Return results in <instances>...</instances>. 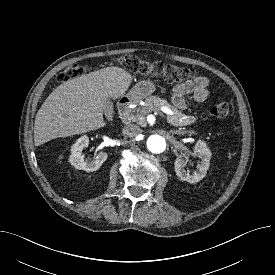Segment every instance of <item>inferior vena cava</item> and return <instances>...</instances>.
I'll return each mask as SVG.
<instances>
[{
	"label": "inferior vena cava",
	"instance_id": "602c4592",
	"mask_svg": "<svg viewBox=\"0 0 275 275\" xmlns=\"http://www.w3.org/2000/svg\"><path fill=\"white\" fill-rule=\"evenodd\" d=\"M141 132V128L136 124H128L123 129V134L131 138L138 136Z\"/></svg>",
	"mask_w": 275,
	"mask_h": 275
}]
</instances>
